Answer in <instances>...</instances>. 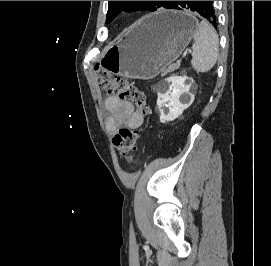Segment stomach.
<instances>
[{"instance_id": "obj_1", "label": "stomach", "mask_w": 271, "mask_h": 266, "mask_svg": "<svg viewBox=\"0 0 271 266\" xmlns=\"http://www.w3.org/2000/svg\"><path fill=\"white\" fill-rule=\"evenodd\" d=\"M197 25L188 11L161 10L145 16L106 48L100 64L116 75L152 79L181 55Z\"/></svg>"}]
</instances>
